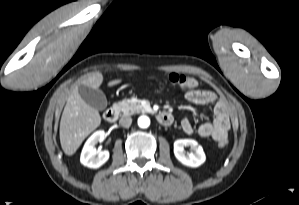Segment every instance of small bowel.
<instances>
[{"mask_svg":"<svg viewBox=\"0 0 299 205\" xmlns=\"http://www.w3.org/2000/svg\"><path fill=\"white\" fill-rule=\"evenodd\" d=\"M184 97L187 101L197 105L214 104L213 120L201 124L197 129L200 137L212 138L215 141L227 138L230 129L228 110L223 102L217 100L215 93L205 89H193L187 90ZM181 128L189 135L193 134L195 130L193 124L187 118L181 121Z\"/></svg>","mask_w":299,"mask_h":205,"instance_id":"obj_1","label":"small bowel"}]
</instances>
